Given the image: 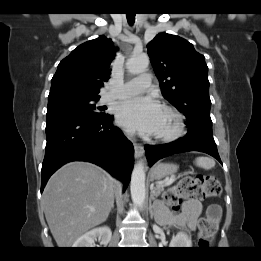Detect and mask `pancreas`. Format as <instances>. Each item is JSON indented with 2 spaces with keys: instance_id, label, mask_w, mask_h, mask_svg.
Segmentation results:
<instances>
[{
  "instance_id": "pancreas-1",
  "label": "pancreas",
  "mask_w": 261,
  "mask_h": 261,
  "mask_svg": "<svg viewBox=\"0 0 261 261\" xmlns=\"http://www.w3.org/2000/svg\"><path fill=\"white\" fill-rule=\"evenodd\" d=\"M163 191H164V186L157 185L154 188V190L152 192V195L155 196V197H158L161 194V192H163Z\"/></svg>"
}]
</instances>
